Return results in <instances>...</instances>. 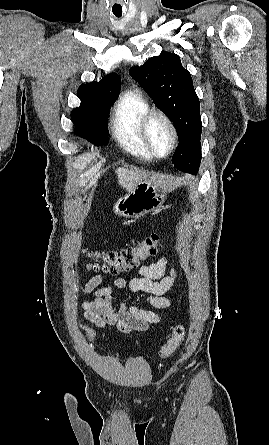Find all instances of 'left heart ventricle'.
<instances>
[{
    "label": "left heart ventricle",
    "mask_w": 269,
    "mask_h": 445,
    "mask_svg": "<svg viewBox=\"0 0 269 445\" xmlns=\"http://www.w3.org/2000/svg\"><path fill=\"white\" fill-rule=\"evenodd\" d=\"M149 139L159 154H165L170 149L172 135L168 125L161 118H154L149 126Z\"/></svg>",
    "instance_id": "1"
}]
</instances>
